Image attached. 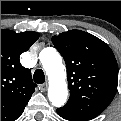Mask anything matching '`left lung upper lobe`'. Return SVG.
I'll return each mask as SVG.
<instances>
[{"instance_id": "1", "label": "left lung upper lobe", "mask_w": 121, "mask_h": 121, "mask_svg": "<svg viewBox=\"0 0 121 121\" xmlns=\"http://www.w3.org/2000/svg\"><path fill=\"white\" fill-rule=\"evenodd\" d=\"M67 67L70 98L57 110L63 115L88 121L111 103L118 85V66L109 46L99 38L70 30L52 37Z\"/></svg>"}]
</instances>
